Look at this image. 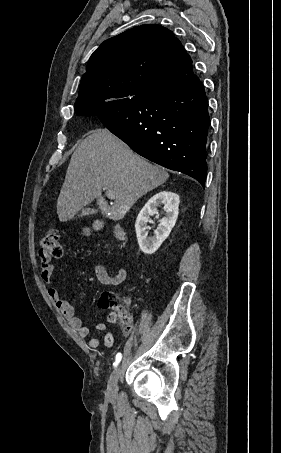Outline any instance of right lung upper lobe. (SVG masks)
Wrapping results in <instances>:
<instances>
[{
  "label": "right lung upper lobe",
  "mask_w": 281,
  "mask_h": 453,
  "mask_svg": "<svg viewBox=\"0 0 281 453\" xmlns=\"http://www.w3.org/2000/svg\"><path fill=\"white\" fill-rule=\"evenodd\" d=\"M192 70L190 56L172 31L154 24L134 27L104 41L91 55L75 112L129 101Z\"/></svg>",
  "instance_id": "cb5924a9"
}]
</instances>
